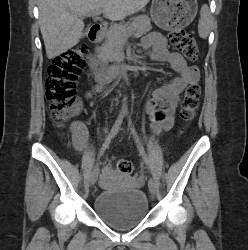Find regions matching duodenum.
<instances>
[{"mask_svg": "<svg viewBox=\"0 0 248 250\" xmlns=\"http://www.w3.org/2000/svg\"><path fill=\"white\" fill-rule=\"evenodd\" d=\"M103 25L100 23L92 24L88 29V38L94 43L100 42ZM89 69L100 84H107L112 80L123 78L127 75L128 69L124 64L102 65L99 59L91 56L88 60Z\"/></svg>", "mask_w": 248, "mask_h": 250, "instance_id": "410a0bca", "label": "duodenum"}]
</instances>
